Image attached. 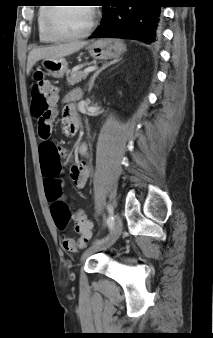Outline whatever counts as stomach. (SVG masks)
<instances>
[{"label": "stomach", "instance_id": "0dacf381", "mask_svg": "<svg viewBox=\"0 0 213 338\" xmlns=\"http://www.w3.org/2000/svg\"><path fill=\"white\" fill-rule=\"evenodd\" d=\"M124 43L119 39L104 38L89 43L86 47L93 59L107 60L118 58L125 51ZM67 61L64 58L43 59L42 66L54 78L63 77L67 70Z\"/></svg>", "mask_w": 213, "mask_h": 338}]
</instances>
